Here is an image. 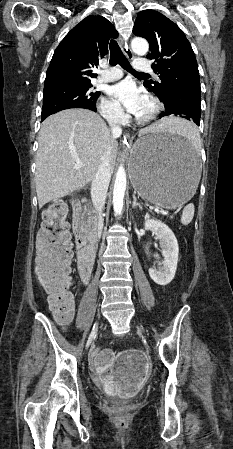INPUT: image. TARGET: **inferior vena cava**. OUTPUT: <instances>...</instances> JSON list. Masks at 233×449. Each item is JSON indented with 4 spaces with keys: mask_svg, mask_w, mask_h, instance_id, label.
Listing matches in <instances>:
<instances>
[{
    "mask_svg": "<svg viewBox=\"0 0 233 449\" xmlns=\"http://www.w3.org/2000/svg\"><path fill=\"white\" fill-rule=\"evenodd\" d=\"M112 140L119 137L122 133L121 127L118 125L117 120L110 122ZM109 154H110V144L105 151V154L101 158V162L97 171L95 172L92 185H91V197L96 209L97 215V233L100 236L103 230V208L105 205V200L107 196V191L111 179V170L109 166Z\"/></svg>",
    "mask_w": 233,
    "mask_h": 449,
    "instance_id": "obj_1",
    "label": "inferior vena cava"
}]
</instances>
